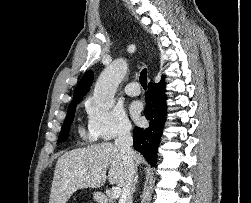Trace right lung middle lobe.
<instances>
[{"mask_svg": "<svg viewBox=\"0 0 251 203\" xmlns=\"http://www.w3.org/2000/svg\"><path fill=\"white\" fill-rule=\"evenodd\" d=\"M77 103L78 102L72 103L68 107L67 116H66L64 124L62 126L60 136L58 138L59 142H63L68 138L69 128H70L71 123L73 122V119L75 116V109H76Z\"/></svg>", "mask_w": 251, "mask_h": 203, "instance_id": "obj_1", "label": "right lung middle lobe"}]
</instances>
